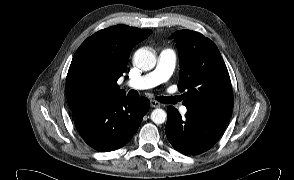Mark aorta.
<instances>
[{
    "label": "aorta",
    "instance_id": "obj_1",
    "mask_svg": "<svg viewBox=\"0 0 294 180\" xmlns=\"http://www.w3.org/2000/svg\"><path fill=\"white\" fill-rule=\"evenodd\" d=\"M134 64L143 71H149L156 65V57L154 53L147 48L138 49L133 57ZM167 114L163 109H154L151 113V120L155 124H162L165 122Z\"/></svg>",
    "mask_w": 294,
    "mask_h": 180
}]
</instances>
